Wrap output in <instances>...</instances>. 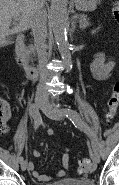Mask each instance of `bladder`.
<instances>
[{
    "label": "bladder",
    "mask_w": 119,
    "mask_h": 185,
    "mask_svg": "<svg viewBox=\"0 0 119 185\" xmlns=\"http://www.w3.org/2000/svg\"><path fill=\"white\" fill-rule=\"evenodd\" d=\"M47 185H95L91 179L68 178Z\"/></svg>",
    "instance_id": "bladder-1"
}]
</instances>
